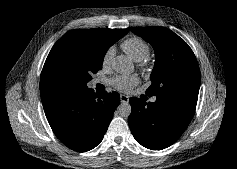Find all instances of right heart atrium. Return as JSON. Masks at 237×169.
<instances>
[{
	"label": "right heart atrium",
	"mask_w": 237,
	"mask_h": 169,
	"mask_svg": "<svg viewBox=\"0 0 237 169\" xmlns=\"http://www.w3.org/2000/svg\"><path fill=\"white\" fill-rule=\"evenodd\" d=\"M114 51H115L114 47H108L105 50L102 58V63L104 66H108L110 64Z\"/></svg>",
	"instance_id": "right-heart-atrium-1"
}]
</instances>
